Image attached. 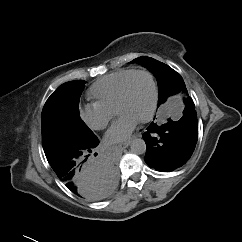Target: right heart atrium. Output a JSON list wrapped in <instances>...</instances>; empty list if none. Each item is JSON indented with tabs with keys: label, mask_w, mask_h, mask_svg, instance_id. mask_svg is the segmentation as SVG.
Returning a JSON list of instances; mask_svg holds the SVG:
<instances>
[{
	"label": "right heart atrium",
	"mask_w": 242,
	"mask_h": 242,
	"mask_svg": "<svg viewBox=\"0 0 242 242\" xmlns=\"http://www.w3.org/2000/svg\"><path fill=\"white\" fill-rule=\"evenodd\" d=\"M80 119L93 130H103L114 116V111L98 103H86L79 107Z\"/></svg>",
	"instance_id": "right-heart-atrium-1"
}]
</instances>
